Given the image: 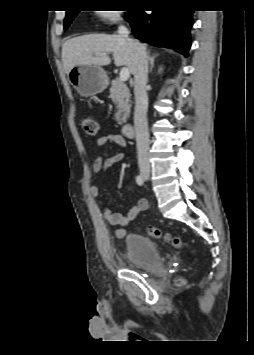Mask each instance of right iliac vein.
<instances>
[{
    "label": "right iliac vein",
    "instance_id": "63e3f726",
    "mask_svg": "<svg viewBox=\"0 0 254 355\" xmlns=\"http://www.w3.org/2000/svg\"><path fill=\"white\" fill-rule=\"evenodd\" d=\"M141 174L144 178H149L150 176V170L149 169H142Z\"/></svg>",
    "mask_w": 254,
    "mask_h": 355
}]
</instances>
